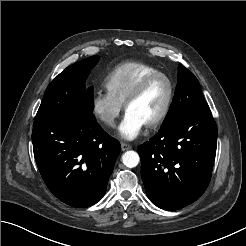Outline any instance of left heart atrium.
I'll return each mask as SVG.
<instances>
[{
  "mask_svg": "<svg viewBox=\"0 0 246 246\" xmlns=\"http://www.w3.org/2000/svg\"><path fill=\"white\" fill-rule=\"evenodd\" d=\"M145 123L136 114L126 111L124 118L119 125V135L127 140H133L142 132Z\"/></svg>",
  "mask_w": 246,
  "mask_h": 246,
  "instance_id": "obj_1",
  "label": "left heart atrium"
}]
</instances>
